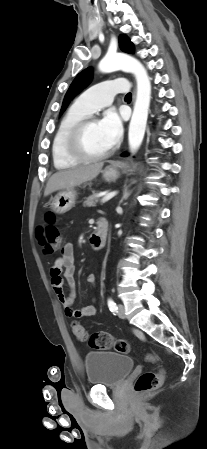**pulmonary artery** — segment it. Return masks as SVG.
<instances>
[{
    "mask_svg": "<svg viewBox=\"0 0 207 449\" xmlns=\"http://www.w3.org/2000/svg\"><path fill=\"white\" fill-rule=\"evenodd\" d=\"M127 91L128 84L125 80L102 81L84 91L75 103L79 108L91 114L110 105L116 94Z\"/></svg>",
    "mask_w": 207,
    "mask_h": 449,
    "instance_id": "e3ab8cb5",
    "label": "pulmonary artery"
}]
</instances>
